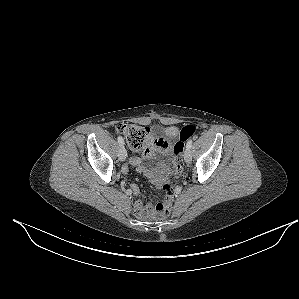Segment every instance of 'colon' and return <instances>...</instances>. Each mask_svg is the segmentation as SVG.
<instances>
[{
    "label": "colon",
    "instance_id": "colon-1",
    "mask_svg": "<svg viewBox=\"0 0 299 299\" xmlns=\"http://www.w3.org/2000/svg\"><path fill=\"white\" fill-rule=\"evenodd\" d=\"M117 132L122 134L129 147L134 150H140L144 146L148 135L149 130L147 127L135 125V124H120L117 126ZM196 132V127L193 125H186L182 128L180 132V140L174 145V171H173V180L176 181L182 174L183 171V148L184 143L193 137ZM165 195L161 202L156 205L153 217L161 218L169 214L172 208L174 200V192L171 184L164 185Z\"/></svg>",
    "mask_w": 299,
    "mask_h": 299
}]
</instances>
